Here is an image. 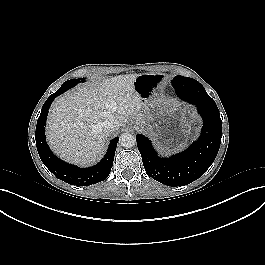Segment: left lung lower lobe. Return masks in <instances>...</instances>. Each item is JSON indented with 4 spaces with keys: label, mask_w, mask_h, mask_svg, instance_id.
<instances>
[{
    "label": "left lung lower lobe",
    "mask_w": 265,
    "mask_h": 265,
    "mask_svg": "<svg viewBox=\"0 0 265 265\" xmlns=\"http://www.w3.org/2000/svg\"><path fill=\"white\" fill-rule=\"evenodd\" d=\"M176 94L196 105L203 118L201 136L185 151L161 158L144 135L136 136L137 146L148 176L162 184L177 187L198 179L214 162L221 143V118L215 101L196 80H172Z\"/></svg>",
    "instance_id": "obj_1"
}]
</instances>
